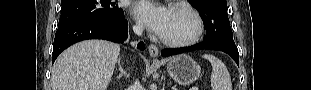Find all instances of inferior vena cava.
<instances>
[{
    "instance_id": "1",
    "label": "inferior vena cava",
    "mask_w": 311,
    "mask_h": 90,
    "mask_svg": "<svg viewBox=\"0 0 311 90\" xmlns=\"http://www.w3.org/2000/svg\"><path fill=\"white\" fill-rule=\"evenodd\" d=\"M133 31L138 36H141L143 33V28L140 25L133 26ZM130 90H141V84L139 80H135L134 84L131 86Z\"/></svg>"
}]
</instances>
